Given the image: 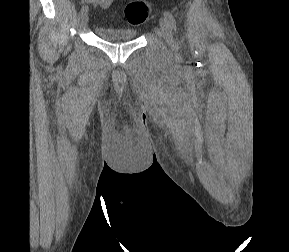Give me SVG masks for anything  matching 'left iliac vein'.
<instances>
[{
  "label": "left iliac vein",
  "mask_w": 289,
  "mask_h": 252,
  "mask_svg": "<svg viewBox=\"0 0 289 252\" xmlns=\"http://www.w3.org/2000/svg\"><path fill=\"white\" fill-rule=\"evenodd\" d=\"M159 25L161 35L164 38L165 42L168 44V46L173 47L174 46L173 34L166 18H161L159 21Z\"/></svg>",
  "instance_id": "obj_1"
}]
</instances>
